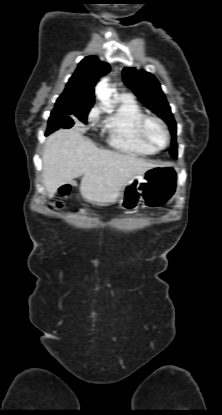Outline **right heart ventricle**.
<instances>
[{
	"label": "right heart ventricle",
	"instance_id": "obj_1",
	"mask_svg": "<svg viewBox=\"0 0 222 415\" xmlns=\"http://www.w3.org/2000/svg\"><path fill=\"white\" fill-rule=\"evenodd\" d=\"M117 109L103 123L107 142L113 148L135 155H151L157 150L143 141L138 125L145 115L139 104L129 95L116 99Z\"/></svg>",
	"mask_w": 222,
	"mask_h": 415
}]
</instances>
